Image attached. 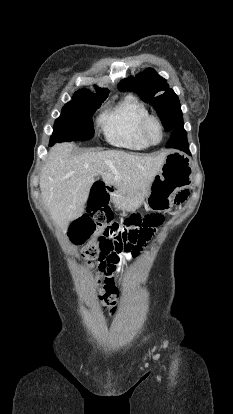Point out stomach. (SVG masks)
<instances>
[{"label":"stomach","mask_w":233,"mask_h":414,"mask_svg":"<svg viewBox=\"0 0 233 414\" xmlns=\"http://www.w3.org/2000/svg\"><path fill=\"white\" fill-rule=\"evenodd\" d=\"M192 165L190 158L180 151H170L158 174L149 187L147 194L148 206L153 209H166L174 195L190 185ZM120 193L115 187L112 194Z\"/></svg>","instance_id":"1"}]
</instances>
